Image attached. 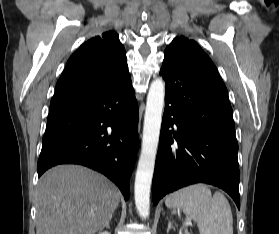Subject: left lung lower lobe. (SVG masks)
<instances>
[{"label":"left lung lower lobe","mask_w":279,"mask_h":234,"mask_svg":"<svg viewBox=\"0 0 279 234\" xmlns=\"http://www.w3.org/2000/svg\"><path fill=\"white\" fill-rule=\"evenodd\" d=\"M166 82L153 204L194 183L225 190L240 208L238 143L227 89L214 66L165 50Z\"/></svg>","instance_id":"left-lung-lower-lobe-1"}]
</instances>
